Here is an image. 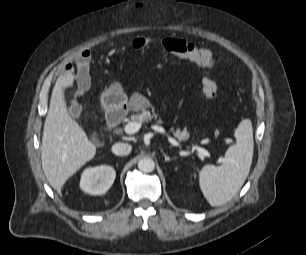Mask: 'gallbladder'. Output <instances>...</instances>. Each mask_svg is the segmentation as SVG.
<instances>
[{"mask_svg": "<svg viewBox=\"0 0 306 255\" xmlns=\"http://www.w3.org/2000/svg\"><path fill=\"white\" fill-rule=\"evenodd\" d=\"M74 106H76V102H73L71 105V107H74Z\"/></svg>", "mask_w": 306, "mask_h": 255, "instance_id": "1", "label": "gallbladder"}]
</instances>
